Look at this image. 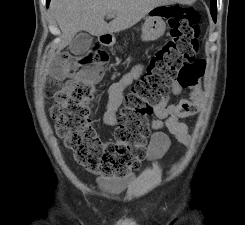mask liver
Segmentation results:
<instances>
[{
	"mask_svg": "<svg viewBox=\"0 0 245 225\" xmlns=\"http://www.w3.org/2000/svg\"><path fill=\"white\" fill-rule=\"evenodd\" d=\"M169 0H52L50 10L61 30L58 52L64 49L79 31L101 36L128 29L144 18L153 8ZM114 14L107 23L104 17Z\"/></svg>",
	"mask_w": 245,
	"mask_h": 225,
	"instance_id": "1",
	"label": "liver"
}]
</instances>
